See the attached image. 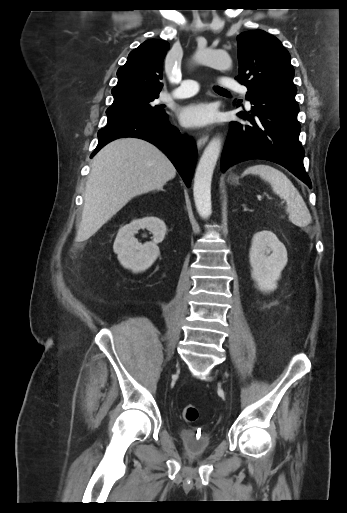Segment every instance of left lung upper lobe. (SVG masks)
<instances>
[{
  "instance_id": "1",
  "label": "left lung upper lobe",
  "mask_w": 347,
  "mask_h": 513,
  "mask_svg": "<svg viewBox=\"0 0 347 513\" xmlns=\"http://www.w3.org/2000/svg\"><path fill=\"white\" fill-rule=\"evenodd\" d=\"M239 75L236 79L253 92L296 94L294 69L280 40L263 30L237 36Z\"/></svg>"
}]
</instances>
